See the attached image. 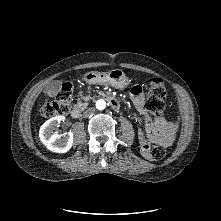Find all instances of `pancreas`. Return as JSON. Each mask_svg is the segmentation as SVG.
<instances>
[{"instance_id":"1","label":"pancreas","mask_w":221,"mask_h":221,"mask_svg":"<svg viewBox=\"0 0 221 221\" xmlns=\"http://www.w3.org/2000/svg\"><path fill=\"white\" fill-rule=\"evenodd\" d=\"M84 101H85V103H81V102H78V106L80 107V108H84L86 105H87V101L90 99V97L89 96H87V97H81Z\"/></svg>"}]
</instances>
